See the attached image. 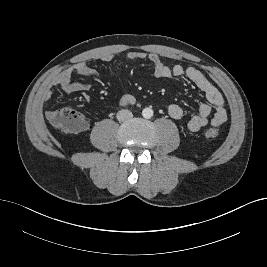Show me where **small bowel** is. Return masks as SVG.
Here are the masks:
<instances>
[{"mask_svg": "<svg viewBox=\"0 0 267 267\" xmlns=\"http://www.w3.org/2000/svg\"><path fill=\"white\" fill-rule=\"evenodd\" d=\"M100 59L110 62L114 59L113 54H102ZM126 59L129 61L147 60L154 67V75L157 78H180L186 77L190 80L199 90H201L206 97V102H203L198 110V113L192 115L188 122L187 127L191 131H198L208 124L217 127L227 120V111L225 101L220 91L203 75L201 71L194 67L184 68L182 65L176 64L172 67L166 65L157 54L146 53L143 51H132L127 53ZM80 75L85 77H93L97 75V71L85 62H79L71 67L60 72L52 81V85L59 87L66 93L83 92L90 89V85L85 82H73L72 77ZM43 98L46 101L51 100L52 93L50 90L45 91ZM136 102L133 95L124 93L119 98L120 106L132 105ZM165 109L169 116L173 119H181L185 112L184 109L178 104H167ZM56 110H48L45 114L47 119H51ZM86 127L84 123L82 128Z\"/></svg>", "mask_w": 267, "mask_h": 267, "instance_id": "small-bowel-1", "label": "small bowel"}]
</instances>
